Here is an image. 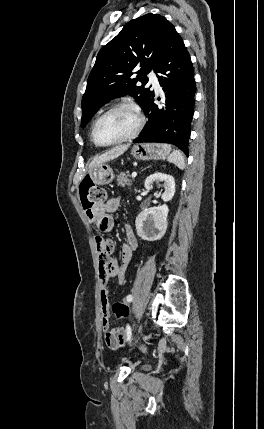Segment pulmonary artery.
<instances>
[{"label": "pulmonary artery", "mask_w": 264, "mask_h": 429, "mask_svg": "<svg viewBox=\"0 0 264 429\" xmlns=\"http://www.w3.org/2000/svg\"><path fill=\"white\" fill-rule=\"evenodd\" d=\"M148 77H149V83L154 87V89L157 92L161 91V87H160L159 81H158L155 73L154 72H150L149 75H148Z\"/></svg>", "instance_id": "e3ab8cb5"}]
</instances>
